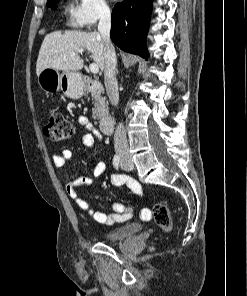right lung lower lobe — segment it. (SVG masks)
Segmentation results:
<instances>
[{
	"label": "right lung lower lobe",
	"mask_w": 247,
	"mask_h": 296,
	"mask_svg": "<svg viewBox=\"0 0 247 296\" xmlns=\"http://www.w3.org/2000/svg\"><path fill=\"white\" fill-rule=\"evenodd\" d=\"M152 11V0H125L112 12L110 36L122 50L148 57L146 36Z\"/></svg>",
	"instance_id": "obj_1"
}]
</instances>
